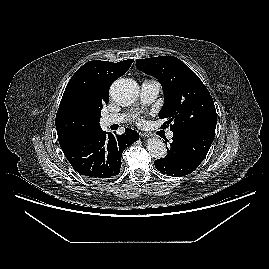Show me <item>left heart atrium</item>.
Returning <instances> with one entry per match:
<instances>
[{
    "label": "left heart atrium",
    "mask_w": 269,
    "mask_h": 269,
    "mask_svg": "<svg viewBox=\"0 0 269 269\" xmlns=\"http://www.w3.org/2000/svg\"><path fill=\"white\" fill-rule=\"evenodd\" d=\"M137 121H138V122H141V120H140V119H137Z\"/></svg>",
    "instance_id": "left-heart-atrium-1"
}]
</instances>
